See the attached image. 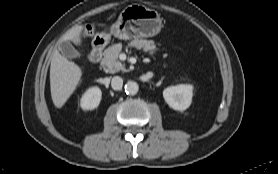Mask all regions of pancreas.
<instances>
[{
    "label": "pancreas",
    "instance_id": "cf45deb5",
    "mask_svg": "<svg viewBox=\"0 0 278 174\" xmlns=\"http://www.w3.org/2000/svg\"><path fill=\"white\" fill-rule=\"evenodd\" d=\"M128 46L143 49L145 52H149L150 55H153L158 50L154 41L145 39H134L129 42ZM121 51V43L112 45L104 51L102 65L107 72L114 74L125 69V66L118 59Z\"/></svg>",
    "mask_w": 278,
    "mask_h": 174
}]
</instances>
